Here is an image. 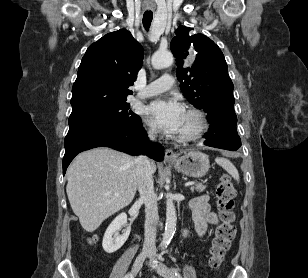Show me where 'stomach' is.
<instances>
[{
    "instance_id": "stomach-1",
    "label": "stomach",
    "mask_w": 308,
    "mask_h": 278,
    "mask_svg": "<svg viewBox=\"0 0 308 278\" xmlns=\"http://www.w3.org/2000/svg\"><path fill=\"white\" fill-rule=\"evenodd\" d=\"M170 164L182 174L194 178L204 176L210 168L208 156L199 151H189Z\"/></svg>"
}]
</instances>
